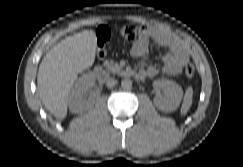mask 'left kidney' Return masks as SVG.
Here are the masks:
<instances>
[{"mask_svg": "<svg viewBox=\"0 0 243 167\" xmlns=\"http://www.w3.org/2000/svg\"><path fill=\"white\" fill-rule=\"evenodd\" d=\"M153 88L156 90H163L164 97H156L154 99L155 106L162 111L171 112L177 109L180 105L183 90L182 88L171 80H156L153 82Z\"/></svg>", "mask_w": 243, "mask_h": 167, "instance_id": "5707ae66", "label": "left kidney"}]
</instances>
